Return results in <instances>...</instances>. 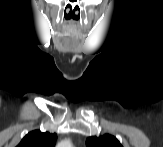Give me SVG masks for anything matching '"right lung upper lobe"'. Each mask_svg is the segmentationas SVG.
<instances>
[{
	"mask_svg": "<svg viewBox=\"0 0 163 147\" xmlns=\"http://www.w3.org/2000/svg\"><path fill=\"white\" fill-rule=\"evenodd\" d=\"M56 139L55 133L34 130L29 132L17 147H54Z\"/></svg>",
	"mask_w": 163,
	"mask_h": 147,
	"instance_id": "obj_1",
	"label": "right lung upper lobe"
}]
</instances>
